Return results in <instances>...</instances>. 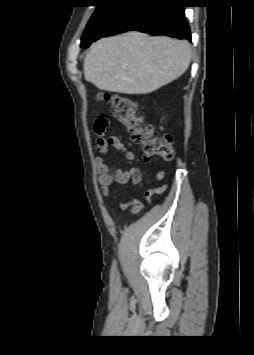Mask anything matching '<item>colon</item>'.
Wrapping results in <instances>:
<instances>
[{"instance_id": "obj_1", "label": "colon", "mask_w": 254, "mask_h": 355, "mask_svg": "<svg viewBox=\"0 0 254 355\" xmlns=\"http://www.w3.org/2000/svg\"><path fill=\"white\" fill-rule=\"evenodd\" d=\"M99 100H105L112 104L116 118L124 124L131 133V139L135 144L144 148L147 156H153L165 161L173 159L172 138L168 134H158L151 126H144L141 119L136 115L134 102L125 95L101 92ZM109 120L100 118L96 122L97 131H103ZM167 186H163L165 190Z\"/></svg>"}]
</instances>
